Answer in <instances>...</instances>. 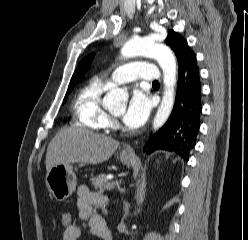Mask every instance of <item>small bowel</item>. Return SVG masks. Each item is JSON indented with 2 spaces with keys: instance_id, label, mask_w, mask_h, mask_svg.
<instances>
[{
  "instance_id": "1",
  "label": "small bowel",
  "mask_w": 248,
  "mask_h": 240,
  "mask_svg": "<svg viewBox=\"0 0 248 240\" xmlns=\"http://www.w3.org/2000/svg\"><path fill=\"white\" fill-rule=\"evenodd\" d=\"M107 204V197L103 194L93 192L89 187L81 185L77 188V208L79 220H87L94 232L95 226L101 222V218L93 212V208L104 207ZM82 234V228L77 223H72L65 228L62 240H78Z\"/></svg>"
}]
</instances>
